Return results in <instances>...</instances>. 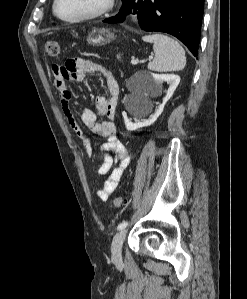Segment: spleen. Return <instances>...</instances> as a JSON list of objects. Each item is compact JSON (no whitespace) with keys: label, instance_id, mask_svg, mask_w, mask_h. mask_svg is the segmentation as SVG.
I'll list each match as a JSON object with an SVG mask.
<instances>
[{"label":"spleen","instance_id":"spleen-1","mask_svg":"<svg viewBox=\"0 0 247 299\" xmlns=\"http://www.w3.org/2000/svg\"><path fill=\"white\" fill-rule=\"evenodd\" d=\"M153 43L155 59L148 63V69L156 72L180 71L186 65L185 51L174 39L162 35L153 34L142 38Z\"/></svg>","mask_w":247,"mask_h":299}]
</instances>
